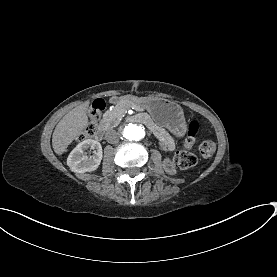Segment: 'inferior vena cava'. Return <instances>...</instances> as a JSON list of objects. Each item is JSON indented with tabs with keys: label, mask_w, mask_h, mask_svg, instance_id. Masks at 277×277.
<instances>
[{
	"label": "inferior vena cava",
	"mask_w": 277,
	"mask_h": 277,
	"mask_svg": "<svg viewBox=\"0 0 277 277\" xmlns=\"http://www.w3.org/2000/svg\"><path fill=\"white\" fill-rule=\"evenodd\" d=\"M115 136H118V134H117V133H115Z\"/></svg>",
	"instance_id": "obj_1"
}]
</instances>
